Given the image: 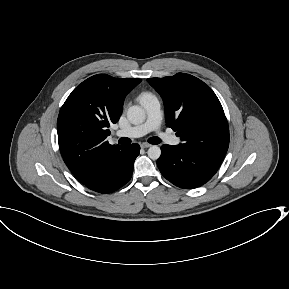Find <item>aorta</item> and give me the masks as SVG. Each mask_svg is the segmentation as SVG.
Instances as JSON below:
<instances>
[{"mask_svg":"<svg viewBox=\"0 0 289 289\" xmlns=\"http://www.w3.org/2000/svg\"><path fill=\"white\" fill-rule=\"evenodd\" d=\"M145 111L142 107L134 105L129 107L127 111V119L130 123L138 125L144 122L145 120ZM148 156L152 160H157L161 155V149L157 145H153L148 149Z\"/></svg>","mask_w":289,"mask_h":289,"instance_id":"1","label":"aorta"}]
</instances>
